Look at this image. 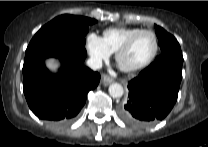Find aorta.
<instances>
[{
  "label": "aorta",
  "mask_w": 208,
  "mask_h": 147,
  "mask_svg": "<svg viewBox=\"0 0 208 147\" xmlns=\"http://www.w3.org/2000/svg\"><path fill=\"white\" fill-rule=\"evenodd\" d=\"M108 91H109L110 96L113 98H120V97H122V95L124 93V89H123L122 85L119 83H112L109 86Z\"/></svg>",
  "instance_id": "obj_1"
}]
</instances>
